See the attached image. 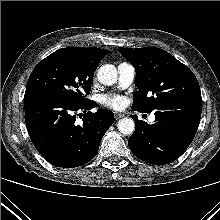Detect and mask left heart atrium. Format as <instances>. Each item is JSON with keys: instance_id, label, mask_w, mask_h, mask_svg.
I'll return each instance as SVG.
<instances>
[{"instance_id": "1", "label": "left heart atrium", "mask_w": 220, "mask_h": 220, "mask_svg": "<svg viewBox=\"0 0 220 220\" xmlns=\"http://www.w3.org/2000/svg\"><path fill=\"white\" fill-rule=\"evenodd\" d=\"M102 102L111 108H120L124 104V98L118 95L104 96Z\"/></svg>"}]
</instances>
